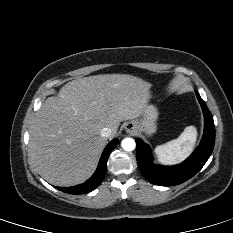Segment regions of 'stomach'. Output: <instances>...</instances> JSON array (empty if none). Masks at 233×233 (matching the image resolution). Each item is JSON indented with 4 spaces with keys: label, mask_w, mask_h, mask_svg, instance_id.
Masks as SVG:
<instances>
[{
    "label": "stomach",
    "mask_w": 233,
    "mask_h": 233,
    "mask_svg": "<svg viewBox=\"0 0 233 233\" xmlns=\"http://www.w3.org/2000/svg\"><path fill=\"white\" fill-rule=\"evenodd\" d=\"M158 119V110L154 105L148 104L138 120H133L131 123L139 132H145L147 135H152L157 130L156 121Z\"/></svg>",
    "instance_id": "0dacf381"
}]
</instances>
